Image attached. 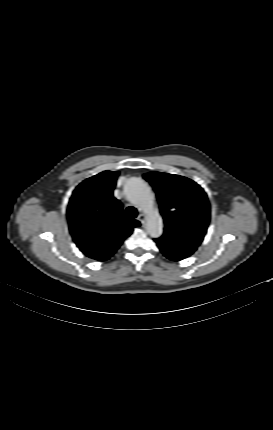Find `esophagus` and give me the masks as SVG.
Here are the masks:
<instances>
[{
  "label": "esophagus",
  "instance_id": "34e87169",
  "mask_svg": "<svg viewBox=\"0 0 273 430\" xmlns=\"http://www.w3.org/2000/svg\"><path fill=\"white\" fill-rule=\"evenodd\" d=\"M142 224L145 223L146 220V216L144 214H139L138 218H137Z\"/></svg>",
  "mask_w": 273,
  "mask_h": 430
}]
</instances>
